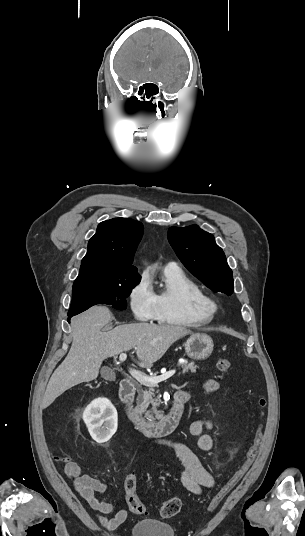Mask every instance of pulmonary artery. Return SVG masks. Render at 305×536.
I'll use <instances>...</instances> for the list:
<instances>
[{"instance_id":"obj_1","label":"pulmonary artery","mask_w":305,"mask_h":536,"mask_svg":"<svg viewBox=\"0 0 305 536\" xmlns=\"http://www.w3.org/2000/svg\"><path fill=\"white\" fill-rule=\"evenodd\" d=\"M172 266H174V264H173V263H169L166 267H172Z\"/></svg>"}]
</instances>
